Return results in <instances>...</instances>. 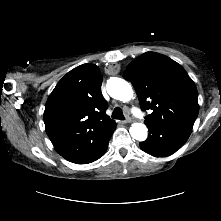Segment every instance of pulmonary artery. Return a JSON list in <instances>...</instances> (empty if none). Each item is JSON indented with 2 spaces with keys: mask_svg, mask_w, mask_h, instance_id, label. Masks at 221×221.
<instances>
[{
  "mask_svg": "<svg viewBox=\"0 0 221 221\" xmlns=\"http://www.w3.org/2000/svg\"><path fill=\"white\" fill-rule=\"evenodd\" d=\"M133 113L138 117V118H144L145 114L143 112H141L139 109L137 108H133Z\"/></svg>",
  "mask_w": 221,
  "mask_h": 221,
  "instance_id": "1",
  "label": "pulmonary artery"
}]
</instances>
